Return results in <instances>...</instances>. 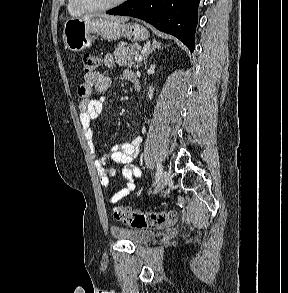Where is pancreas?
<instances>
[{"instance_id":"cf45deb5","label":"pancreas","mask_w":288,"mask_h":293,"mask_svg":"<svg viewBox=\"0 0 288 293\" xmlns=\"http://www.w3.org/2000/svg\"><path fill=\"white\" fill-rule=\"evenodd\" d=\"M139 51L140 48L135 44L127 45L124 42H120L113 54L118 64L138 68L140 64L138 62L136 64L134 59L135 56L139 55Z\"/></svg>"}]
</instances>
